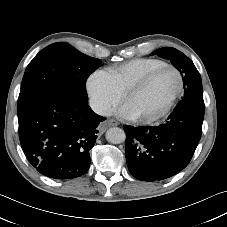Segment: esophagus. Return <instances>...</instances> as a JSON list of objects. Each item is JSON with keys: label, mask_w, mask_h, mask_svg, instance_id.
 <instances>
[{"label": "esophagus", "mask_w": 227, "mask_h": 227, "mask_svg": "<svg viewBox=\"0 0 227 227\" xmlns=\"http://www.w3.org/2000/svg\"><path fill=\"white\" fill-rule=\"evenodd\" d=\"M108 125H110V126H117L118 125V122L116 120H114V119H110L108 121Z\"/></svg>", "instance_id": "obj_1"}]
</instances>
